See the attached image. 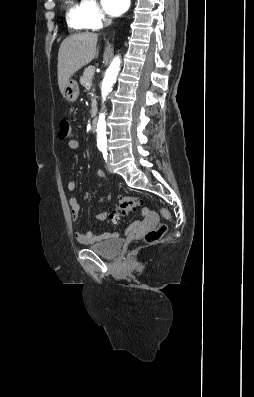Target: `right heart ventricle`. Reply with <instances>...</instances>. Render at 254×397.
<instances>
[{
  "label": "right heart ventricle",
  "instance_id": "right-heart-ventricle-1",
  "mask_svg": "<svg viewBox=\"0 0 254 397\" xmlns=\"http://www.w3.org/2000/svg\"><path fill=\"white\" fill-rule=\"evenodd\" d=\"M66 22L68 27L74 31H82L89 28L82 15L81 3L79 4L75 0H67Z\"/></svg>",
  "mask_w": 254,
  "mask_h": 397
}]
</instances>
